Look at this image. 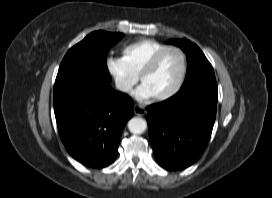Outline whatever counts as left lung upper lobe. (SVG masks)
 <instances>
[{"instance_id":"5c2ea615","label":"left lung upper lobe","mask_w":272,"mask_h":198,"mask_svg":"<svg viewBox=\"0 0 272 198\" xmlns=\"http://www.w3.org/2000/svg\"><path fill=\"white\" fill-rule=\"evenodd\" d=\"M180 47L187 57V77L182 87L200 81L215 80L213 68L197 45L187 39L169 40Z\"/></svg>"}]
</instances>
